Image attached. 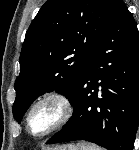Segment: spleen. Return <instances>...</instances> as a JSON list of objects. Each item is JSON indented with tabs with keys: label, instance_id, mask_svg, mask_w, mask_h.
Returning <instances> with one entry per match:
<instances>
[{
	"label": "spleen",
	"instance_id": "obj_1",
	"mask_svg": "<svg viewBox=\"0 0 139 150\" xmlns=\"http://www.w3.org/2000/svg\"><path fill=\"white\" fill-rule=\"evenodd\" d=\"M78 146L80 150H102L100 147L93 144L81 143Z\"/></svg>",
	"mask_w": 139,
	"mask_h": 150
}]
</instances>
